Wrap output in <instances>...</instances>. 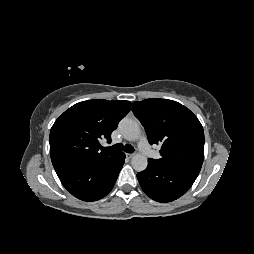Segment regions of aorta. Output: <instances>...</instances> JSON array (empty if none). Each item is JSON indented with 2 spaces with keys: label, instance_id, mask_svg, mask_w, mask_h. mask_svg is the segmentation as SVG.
Returning <instances> with one entry per match:
<instances>
[{
  "label": "aorta",
  "instance_id": "762f6f07",
  "mask_svg": "<svg viewBox=\"0 0 254 254\" xmlns=\"http://www.w3.org/2000/svg\"><path fill=\"white\" fill-rule=\"evenodd\" d=\"M119 130L123 137L128 141H136L140 135V128L137 121L124 118L119 122ZM131 164L134 170L141 172L147 168V157L143 154L136 153L132 157Z\"/></svg>",
  "mask_w": 254,
  "mask_h": 254
}]
</instances>
